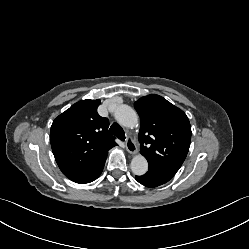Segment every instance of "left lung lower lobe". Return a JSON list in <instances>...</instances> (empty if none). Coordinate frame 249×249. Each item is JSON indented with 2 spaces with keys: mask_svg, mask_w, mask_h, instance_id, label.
I'll use <instances>...</instances> for the list:
<instances>
[{
  "mask_svg": "<svg viewBox=\"0 0 249 249\" xmlns=\"http://www.w3.org/2000/svg\"><path fill=\"white\" fill-rule=\"evenodd\" d=\"M173 175L158 171L149 167L148 171L142 176H135V179L146 187H157L168 182Z\"/></svg>",
  "mask_w": 249,
  "mask_h": 249,
  "instance_id": "left-lung-lower-lobe-1",
  "label": "left lung lower lobe"
}]
</instances>
